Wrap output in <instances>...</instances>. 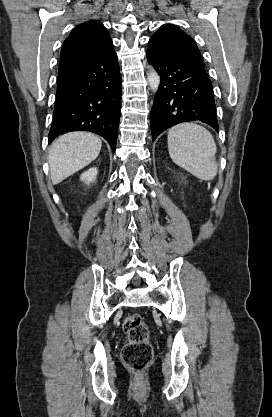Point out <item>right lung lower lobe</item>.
<instances>
[{"label":"right lung lower lobe","mask_w":272,"mask_h":417,"mask_svg":"<svg viewBox=\"0 0 272 417\" xmlns=\"http://www.w3.org/2000/svg\"><path fill=\"white\" fill-rule=\"evenodd\" d=\"M121 85L112 41L91 59L60 63L49 143L69 131H91L103 136L115 152Z\"/></svg>","instance_id":"right-lung-lower-lobe-1"}]
</instances>
